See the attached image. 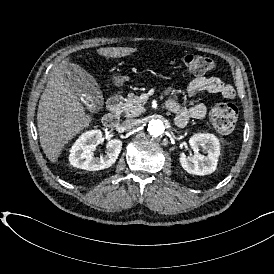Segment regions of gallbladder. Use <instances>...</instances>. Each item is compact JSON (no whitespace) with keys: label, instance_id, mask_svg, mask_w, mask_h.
Here are the masks:
<instances>
[{"label":"gallbladder","instance_id":"bac80fb5","mask_svg":"<svg viewBox=\"0 0 274 274\" xmlns=\"http://www.w3.org/2000/svg\"><path fill=\"white\" fill-rule=\"evenodd\" d=\"M63 77L82 105L90 110H97L102 106L101 90L92 75L76 64H69L63 70Z\"/></svg>","mask_w":274,"mask_h":274}]
</instances>
